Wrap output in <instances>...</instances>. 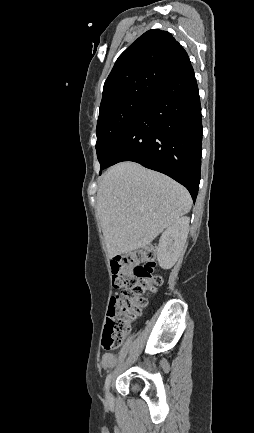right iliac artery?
Masks as SVG:
<instances>
[{"label":"right iliac artery","instance_id":"right-iliac-artery-1","mask_svg":"<svg viewBox=\"0 0 254 433\" xmlns=\"http://www.w3.org/2000/svg\"><path fill=\"white\" fill-rule=\"evenodd\" d=\"M111 378H112V374H109L107 376V378H106V381H105V388H106V390H108V388H109V385H110V382H111Z\"/></svg>","mask_w":254,"mask_h":433}]
</instances>
